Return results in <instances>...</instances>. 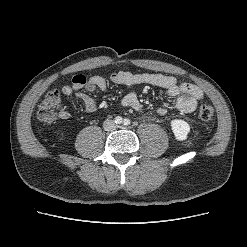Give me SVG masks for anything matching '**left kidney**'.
Here are the masks:
<instances>
[{
    "mask_svg": "<svg viewBox=\"0 0 247 247\" xmlns=\"http://www.w3.org/2000/svg\"><path fill=\"white\" fill-rule=\"evenodd\" d=\"M171 128L175 138L178 141H183L187 139V135L190 132V126L186 121L181 119H174L171 121Z\"/></svg>",
    "mask_w": 247,
    "mask_h": 247,
    "instance_id": "left-kidney-1",
    "label": "left kidney"
}]
</instances>
